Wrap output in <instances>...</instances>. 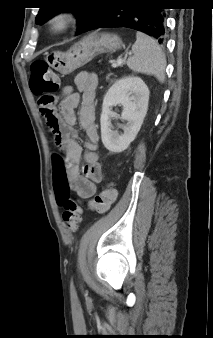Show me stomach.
<instances>
[{"instance_id":"0dacf381","label":"stomach","mask_w":213,"mask_h":338,"mask_svg":"<svg viewBox=\"0 0 213 338\" xmlns=\"http://www.w3.org/2000/svg\"><path fill=\"white\" fill-rule=\"evenodd\" d=\"M122 39L110 33H91L75 43L66 53L53 52L47 56L50 66L63 75L70 74L101 53L121 49Z\"/></svg>"}]
</instances>
